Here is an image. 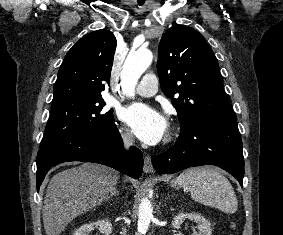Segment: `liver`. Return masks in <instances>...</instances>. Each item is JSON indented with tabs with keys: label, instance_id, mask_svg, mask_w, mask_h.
<instances>
[{
	"label": "liver",
	"instance_id": "1",
	"mask_svg": "<svg viewBox=\"0 0 283 235\" xmlns=\"http://www.w3.org/2000/svg\"><path fill=\"white\" fill-rule=\"evenodd\" d=\"M118 179L117 171L95 163H83L53 176L42 210L46 235L61 234L74 218L100 205Z\"/></svg>",
	"mask_w": 283,
	"mask_h": 235
}]
</instances>
